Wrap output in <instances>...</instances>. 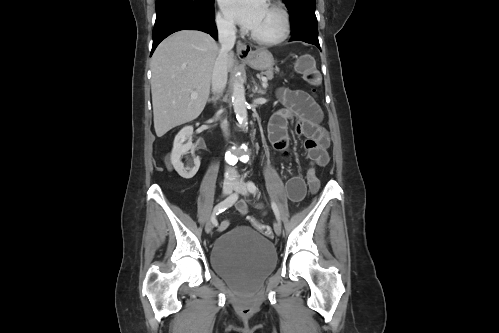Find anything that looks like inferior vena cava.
Masks as SVG:
<instances>
[{
	"label": "inferior vena cava",
	"instance_id": "1",
	"mask_svg": "<svg viewBox=\"0 0 499 333\" xmlns=\"http://www.w3.org/2000/svg\"><path fill=\"white\" fill-rule=\"evenodd\" d=\"M218 39L221 48L216 58L213 73H212V91L214 93H221L227 83V64L228 54L233 48L236 41V27L232 22L218 21ZM223 131L226 133L227 122L221 125ZM228 173H235V169L227 168Z\"/></svg>",
	"mask_w": 499,
	"mask_h": 333
}]
</instances>
